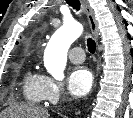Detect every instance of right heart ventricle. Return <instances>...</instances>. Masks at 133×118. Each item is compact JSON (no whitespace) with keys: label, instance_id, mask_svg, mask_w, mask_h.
<instances>
[{"label":"right heart ventricle","instance_id":"1","mask_svg":"<svg viewBox=\"0 0 133 118\" xmlns=\"http://www.w3.org/2000/svg\"><path fill=\"white\" fill-rule=\"evenodd\" d=\"M22 92L26 101L35 105L40 104L44 100L43 75L28 71L23 77Z\"/></svg>","mask_w":133,"mask_h":118}]
</instances>
